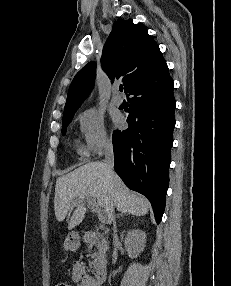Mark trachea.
I'll use <instances>...</instances> for the list:
<instances>
[{"instance_id": "1", "label": "trachea", "mask_w": 231, "mask_h": 286, "mask_svg": "<svg viewBox=\"0 0 231 286\" xmlns=\"http://www.w3.org/2000/svg\"><path fill=\"white\" fill-rule=\"evenodd\" d=\"M119 90H120L121 92L123 91V86H122V85L119 87Z\"/></svg>"}]
</instances>
